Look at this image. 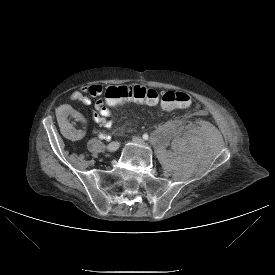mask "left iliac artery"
<instances>
[{
	"label": "left iliac artery",
	"instance_id": "44dca946",
	"mask_svg": "<svg viewBox=\"0 0 275 275\" xmlns=\"http://www.w3.org/2000/svg\"><path fill=\"white\" fill-rule=\"evenodd\" d=\"M148 138H149L148 134L145 133V134L143 135V139H144V140H148Z\"/></svg>",
	"mask_w": 275,
	"mask_h": 275
}]
</instances>
